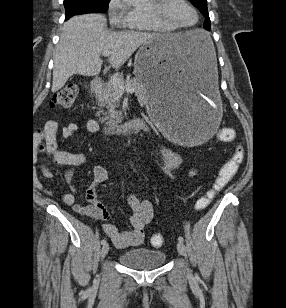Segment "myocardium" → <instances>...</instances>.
I'll return each instance as SVG.
<instances>
[{
  "instance_id": "obj_1",
  "label": "myocardium",
  "mask_w": 286,
  "mask_h": 308,
  "mask_svg": "<svg viewBox=\"0 0 286 308\" xmlns=\"http://www.w3.org/2000/svg\"><path fill=\"white\" fill-rule=\"evenodd\" d=\"M188 7H190L195 15L196 20L191 25H179L175 23L173 20L170 19V17L167 14V8L171 2V0H154L153 5L150 9L147 10V13L150 17H152L154 20H156L159 23L165 24L171 28L174 29H190L195 27L199 22V13L197 9L194 7V5L189 0H182Z\"/></svg>"
}]
</instances>
